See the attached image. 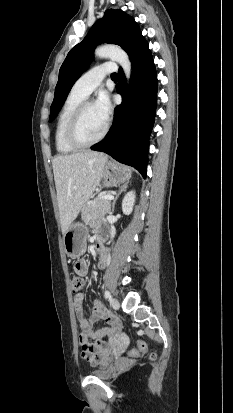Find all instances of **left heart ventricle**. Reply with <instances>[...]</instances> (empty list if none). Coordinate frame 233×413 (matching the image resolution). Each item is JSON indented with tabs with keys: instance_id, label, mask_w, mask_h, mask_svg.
<instances>
[{
	"instance_id": "obj_1",
	"label": "left heart ventricle",
	"mask_w": 233,
	"mask_h": 413,
	"mask_svg": "<svg viewBox=\"0 0 233 413\" xmlns=\"http://www.w3.org/2000/svg\"><path fill=\"white\" fill-rule=\"evenodd\" d=\"M106 122L100 115L95 104L89 105L80 122L79 137L83 141H91L97 138L102 133Z\"/></svg>"
}]
</instances>
